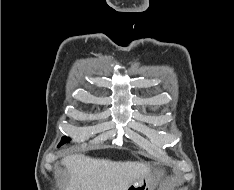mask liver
<instances>
[{
  "label": "liver",
  "mask_w": 234,
  "mask_h": 190,
  "mask_svg": "<svg viewBox=\"0 0 234 190\" xmlns=\"http://www.w3.org/2000/svg\"><path fill=\"white\" fill-rule=\"evenodd\" d=\"M70 174L65 190H127L136 179L149 172L143 161H111L84 155H68L62 159Z\"/></svg>",
  "instance_id": "obj_1"
}]
</instances>
